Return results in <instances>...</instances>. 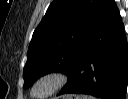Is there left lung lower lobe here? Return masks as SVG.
Returning a JSON list of instances; mask_svg holds the SVG:
<instances>
[{
    "label": "left lung lower lobe",
    "instance_id": "1",
    "mask_svg": "<svg viewBox=\"0 0 128 99\" xmlns=\"http://www.w3.org/2000/svg\"><path fill=\"white\" fill-rule=\"evenodd\" d=\"M128 49L124 26L114 0H109L85 47L66 72L68 83L58 93L125 99Z\"/></svg>",
    "mask_w": 128,
    "mask_h": 99
}]
</instances>
